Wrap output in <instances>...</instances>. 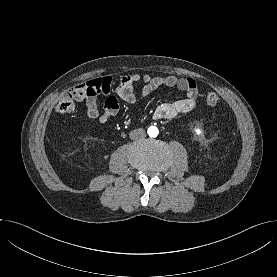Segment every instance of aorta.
<instances>
[{
    "label": "aorta",
    "instance_id": "1",
    "mask_svg": "<svg viewBox=\"0 0 277 277\" xmlns=\"http://www.w3.org/2000/svg\"><path fill=\"white\" fill-rule=\"evenodd\" d=\"M158 134H159V130H158L157 127H155V126H150V127L148 128V135H149L150 137H157Z\"/></svg>",
    "mask_w": 277,
    "mask_h": 277
}]
</instances>
